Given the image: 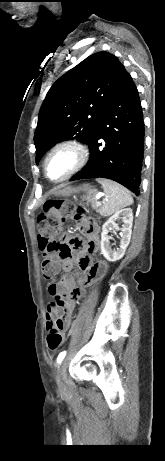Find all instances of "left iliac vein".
Here are the masks:
<instances>
[{
    "label": "left iliac vein",
    "instance_id": "1",
    "mask_svg": "<svg viewBox=\"0 0 165 461\" xmlns=\"http://www.w3.org/2000/svg\"><path fill=\"white\" fill-rule=\"evenodd\" d=\"M68 364H69V359H68V358H65V359L61 362V364L59 365V368H58L57 381H58L59 386H60L63 390L66 388V385H67V374H66V370H67Z\"/></svg>",
    "mask_w": 165,
    "mask_h": 461
}]
</instances>
